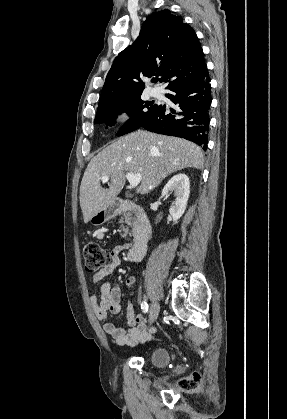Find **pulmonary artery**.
<instances>
[{
  "label": "pulmonary artery",
  "instance_id": "obj_1",
  "mask_svg": "<svg viewBox=\"0 0 287 419\" xmlns=\"http://www.w3.org/2000/svg\"><path fill=\"white\" fill-rule=\"evenodd\" d=\"M150 95L153 96V97L154 96H157L158 95V91L153 89V90H151Z\"/></svg>",
  "mask_w": 287,
  "mask_h": 419
}]
</instances>
